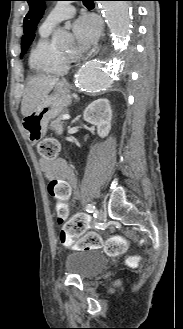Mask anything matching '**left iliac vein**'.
Returning <instances> with one entry per match:
<instances>
[{"label": "left iliac vein", "instance_id": "4c4485c4", "mask_svg": "<svg viewBox=\"0 0 183 329\" xmlns=\"http://www.w3.org/2000/svg\"><path fill=\"white\" fill-rule=\"evenodd\" d=\"M97 216L99 221H103L105 219V212L103 210H98Z\"/></svg>", "mask_w": 183, "mask_h": 329}]
</instances>
